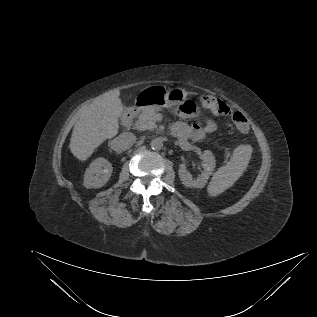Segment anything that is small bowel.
Segmentation results:
<instances>
[{
	"instance_id": "small-bowel-1",
	"label": "small bowel",
	"mask_w": 317,
	"mask_h": 317,
	"mask_svg": "<svg viewBox=\"0 0 317 317\" xmlns=\"http://www.w3.org/2000/svg\"><path fill=\"white\" fill-rule=\"evenodd\" d=\"M181 119L173 124L172 132L180 141H199L205 138L208 134L212 133L216 129V124L205 119L203 125L197 123H187L184 119L187 117L186 113L180 112ZM244 118V117H243ZM246 121V119H244ZM249 126L246 124L243 129H239L241 132L246 133Z\"/></svg>"
}]
</instances>
